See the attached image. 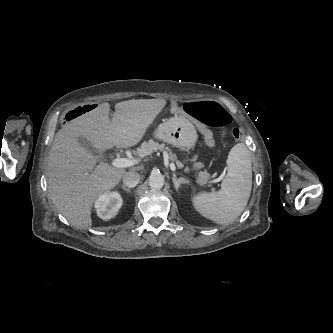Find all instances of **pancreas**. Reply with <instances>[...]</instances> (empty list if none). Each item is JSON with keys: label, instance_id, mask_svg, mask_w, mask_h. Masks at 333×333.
Segmentation results:
<instances>
[{"label": "pancreas", "instance_id": "pancreas-1", "mask_svg": "<svg viewBox=\"0 0 333 333\" xmlns=\"http://www.w3.org/2000/svg\"><path fill=\"white\" fill-rule=\"evenodd\" d=\"M158 150H166L169 155V159L172 162H175L177 167L179 169H182L184 167V164L177 159V156L172 153V151L166 147L164 144H159L158 142H155L153 140H149L148 142H143L142 145L137 148L136 154L141 156H148L151 155L152 153L158 151ZM185 172H189V169L186 168ZM211 178V175L206 171H199L196 174V182L199 183L202 186H210L208 184L209 179Z\"/></svg>", "mask_w": 333, "mask_h": 333}]
</instances>
